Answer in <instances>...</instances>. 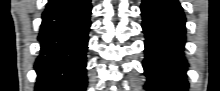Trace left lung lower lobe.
Returning a JSON list of instances; mask_svg holds the SVG:
<instances>
[{"instance_id": "left-lung-lower-lobe-1", "label": "left lung lower lobe", "mask_w": 220, "mask_h": 91, "mask_svg": "<svg viewBox=\"0 0 220 91\" xmlns=\"http://www.w3.org/2000/svg\"><path fill=\"white\" fill-rule=\"evenodd\" d=\"M144 74L148 91H186L185 16L178 0H143Z\"/></svg>"}]
</instances>
